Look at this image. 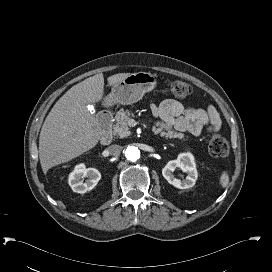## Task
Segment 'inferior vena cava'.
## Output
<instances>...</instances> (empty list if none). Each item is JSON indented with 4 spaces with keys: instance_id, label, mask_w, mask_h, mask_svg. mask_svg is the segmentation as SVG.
I'll use <instances>...</instances> for the list:
<instances>
[{
    "instance_id": "602c4592",
    "label": "inferior vena cava",
    "mask_w": 272,
    "mask_h": 272,
    "mask_svg": "<svg viewBox=\"0 0 272 272\" xmlns=\"http://www.w3.org/2000/svg\"><path fill=\"white\" fill-rule=\"evenodd\" d=\"M121 151H122V147L117 144H113L108 147L109 154L113 155V156L119 155L121 153Z\"/></svg>"
}]
</instances>
